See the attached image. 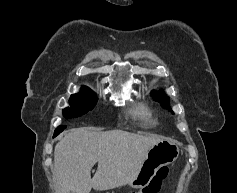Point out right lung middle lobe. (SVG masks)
<instances>
[{"label":"right lung middle lobe","mask_w":237,"mask_h":193,"mask_svg":"<svg viewBox=\"0 0 237 193\" xmlns=\"http://www.w3.org/2000/svg\"><path fill=\"white\" fill-rule=\"evenodd\" d=\"M97 103V98L92 91H83L79 94H73L70 97L69 104L62 110L65 118H76L91 111Z\"/></svg>","instance_id":"dd1d6c3e"}]
</instances>
